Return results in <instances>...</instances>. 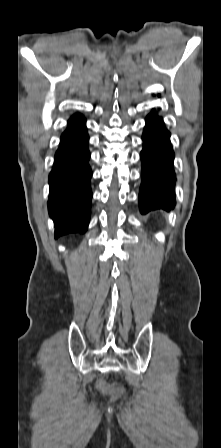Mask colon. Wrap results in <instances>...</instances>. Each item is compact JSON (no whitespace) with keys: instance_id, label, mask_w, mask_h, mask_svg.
<instances>
[{"instance_id":"1","label":"colon","mask_w":221,"mask_h":448,"mask_svg":"<svg viewBox=\"0 0 221 448\" xmlns=\"http://www.w3.org/2000/svg\"><path fill=\"white\" fill-rule=\"evenodd\" d=\"M100 387L103 390L110 392V394L114 399H119L122 397V387L120 386L119 383H113L111 386H109L106 383L101 382Z\"/></svg>"}]
</instances>
